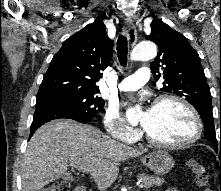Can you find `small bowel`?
Instances as JSON below:
<instances>
[{
    "label": "small bowel",
    "instance_id": "obj_1",
    "mask_svg": "<svg viewBox=\"0 0 221 191\" xmlns=\"http://www.w3.org/2000/svg\"><path fill=\"white\" fill-rule=\"evenodd\" d=\"M166 191H177V190L174 189V188H169V189H167Z\"/></svg>",
    "mask_w": 221,
    "mask_h": 191
}]
</instances>
